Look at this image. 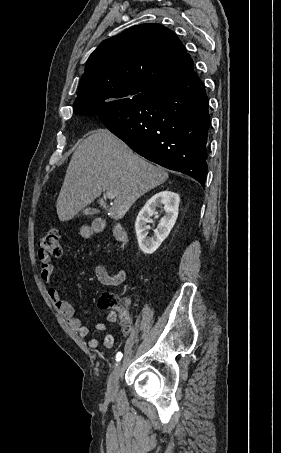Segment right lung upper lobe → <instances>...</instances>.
<instances>
[{
    "instance_id": "right-lung-upper-lobe-1",
    "label": "right lung upper lobe",
    "mask_w": 281,
    "mask_h": 453,
    "mask_svg": "<svg viewBox=\"0 0 281 453\" xmlns=\"http://www.w3.org/2000/svg\"><path fill=\"white\" fill-rule=\"evenodd\" d=\"M192 69V58L172 30L153 23L134 26L104 40L90 55L74 113L129 101Z\"/></svg>"
}]
</instances>
